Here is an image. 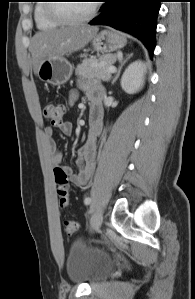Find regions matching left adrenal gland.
Returning <instances> with one entry per match:
<instances>
[{"label":"left adrenal gland","instance_id":"1","mask_svg":"<svg viewBox=\"0 0 195 299\" xmlns=\"http://www.w3.org/2000/svg\"><path fill=\"white\" fill-rule=\"evenodd\" d=\"M132 53L130 54V55H128L127 57H126V59H124L122 62H121V64L119 65V67H118V70H117V73H116V75L114 76V78H113V80H112V84H114L115 82H116V80L118 79V77H119V75H120V72H121V69H122V67H123V65L127 62V60L128 59H130V57H132Z\"/></svg>","mask_w":195,"mask_h":299}]
</instances>
